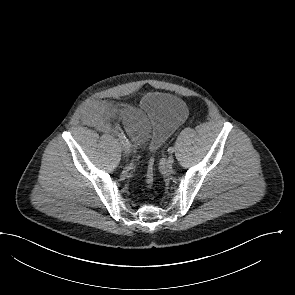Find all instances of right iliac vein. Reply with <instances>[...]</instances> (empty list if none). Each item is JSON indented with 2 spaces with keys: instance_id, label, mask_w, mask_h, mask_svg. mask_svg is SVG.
Instances as JSON below:
<instances>
[{
  "instance_id": "obj_1",
  "label": "right iliac vein",
  "mask_w": 295,
  "mask_h": 295,
  "mask_svg": "<svg viewBox=\"0 0 295 295\" xmlns=\"http://www.w3.org/2000/svg\"><path fill=\"white\" fill-rule=\"evenodd\" d=\"M124 153L128 156L131 153L130 143L123 144Z\"/></svg>"
}]
</instances>
